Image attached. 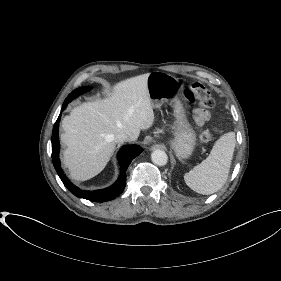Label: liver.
Masks as SVG:
<instances>
[{
  "instance_id": "1",
  "label": "liver",
  "mask_w": 281,
  "mask_h": 281,
  "mask_svg": "<svg viewBox=\"0 0 281 281\" xmlns=\"http://www.w3.org/2000/svg\"><path fill=\"white\" fill-rule=\"evenodd\" d=\"M149 73L114 85L107 98L75 107L62 121L61 141L67 146L63 162L75 180H88L107 165L119 132L129 141L137 140L140 131L154 122L147 80Z\"/></svg>"
}]
</instances>
